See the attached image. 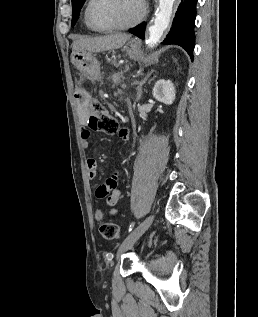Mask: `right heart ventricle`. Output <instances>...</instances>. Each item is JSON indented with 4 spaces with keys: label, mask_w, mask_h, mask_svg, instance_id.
I'll list each match as a JSON object with an SVG mask.
<instances>
[{
    "label": "right heart ventricle",
    "mask_w": 258,
    "mask_h": 317,
    "mask_svg": "<svg viewBox=\"0 0 258 317\" xmlns=\"http://www.w3.org/2000/svg\"><path fill=\"white\" fill-rule=\"evenodd\" d=\"M85 24H86V26H87V28L88 29H90V30H94L90 25H89V23L87 22V19H86V15H85Z\"/></svg>",
    "instance_id": "right-heart-ventricle-1"
}]
</instances>
